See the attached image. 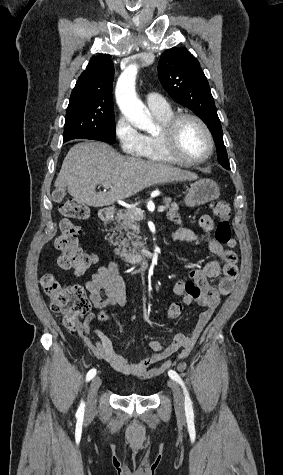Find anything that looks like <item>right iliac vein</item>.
Wrapping results in <instances>:
<instances>
[{
  "label": "right iliac vein",
  "instance_id": "right-iliac-vein-1",
  "mask_svg": "<svg viewBox=\"0 0 283 475\" xmlns=\"http://www.w3.org/2000/svg\"><path fill=\"white\" fill-rule=\"evenodd\" d=\"M101 385V379L96 376L92 379L89 387V392H88V401H87V408H86V414L91 416L94 413L95 407H96V395L97 391Z\"/></svg>",
  "mask_w": 283,
  "mask_h": 475
}]
</instances>
